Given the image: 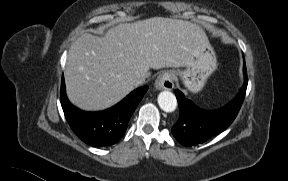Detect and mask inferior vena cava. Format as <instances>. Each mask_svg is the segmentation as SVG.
<instances>
[{
	"mask_svg": "<svg viewBox=\"0 0 288 181\" xmlns=\"http://www.w3.org/2000/svg\"><path fill=\"white\" fill-rule=\"evenodd\" d=\"M145 81H146L145 77H140V78L135 80V86H140V85L144 84Z\"/></svg>",
	"mask_w": 288,
	"mask_h": 181,
	"instance_id": "1",
	"label": "inferior vena cava"
}]
</instances>
